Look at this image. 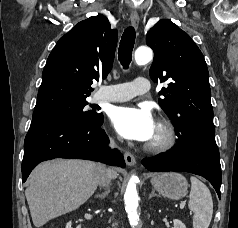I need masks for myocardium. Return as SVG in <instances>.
<instances>
[{"mask_svg":"<svg viewBox=\"0 0 238 228\" xmlns=\"http://www.w3.org/2000/svg\"><path fill=\"white\" fill-rule=\"evenodd\" d=\"M158 140L148 142L144 148L151 153H161L171 149L176 142V134L172 124L167 120H159L156 125Z\"/></svg>","mask_w":238,"mask_h":228,"instance_id":"obj_1","label":"myocardium"}]
</instances>
